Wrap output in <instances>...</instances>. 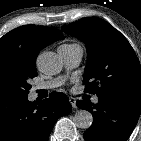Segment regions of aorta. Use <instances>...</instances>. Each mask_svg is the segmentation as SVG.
I'll use <instances>...</instances> for the list:
<instances>
[{"mask_svg": "<svg viewBox=\"0 0 141 141\" xmlns=\"http://www.w3.org/2000/svg\"><path fill=\"white\" fill-rule=\"evenodd\" d=\"M37 66L46 75H55L62 69L58 55L50 51L43 52L38 56ZM74 123L78 128L88 129L93 123V116L87 110H79L75 113Z\"/></svg>", "mask_w": 141, "mask_h": 141, "instance_id": "762f6f07", "label": "aorta"}]
</instances>
